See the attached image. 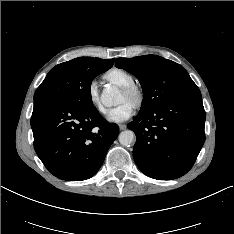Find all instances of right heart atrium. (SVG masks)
I'll use <instances>...</instances> for the list:
<instances>
[{
	"mask_svg": "<svg viewBox=\"0 0 234 234\" xmlns=\"http://www.w3.org/2000/svg\"><path fill=\"white\" fill-rule=\"evenodd\" d=\"M87 97L89 103L101 114L106 112L105 107L102 105L97 84L96 82L92 81L87 88Z\"/></svg>",
	"mask_w": 234,
	"mask_h": 234,
	"instance_id": "d8ad5b80",
	"label": "right heart atrium"
}]
</instances>
